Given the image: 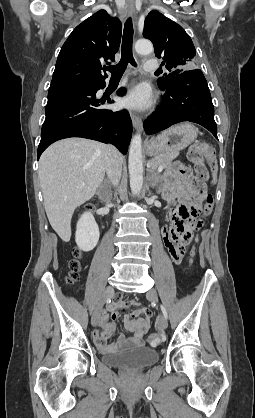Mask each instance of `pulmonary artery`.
Masks as SVG:
<instances>
[{
	"label": "pulmonary artery",
	"instance_id": "e3ab8cb5",
	"mask_svg": "<svg viewBox=\"0 0 255 418\" xmlns=\"http://www.w3.org/2000/svg\"><path fill=\"white\" fill-rule=\"evenodd\" d=\"M159 67L158 62L155 59H148L144 64V69L147 72H153Z\"/></svg>",
	"mask_w": 255,
	"mask_h": 418
}]
</instances>
